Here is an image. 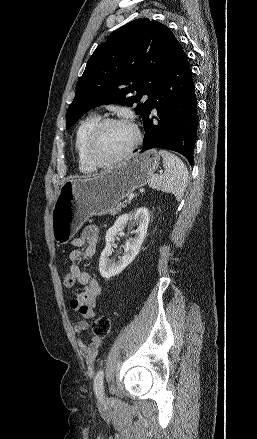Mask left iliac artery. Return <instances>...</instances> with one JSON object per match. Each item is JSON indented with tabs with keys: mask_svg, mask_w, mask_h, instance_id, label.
<instances>
[{
	"mask_svg": "<svg viewBox=\"0 0 257 439\" xmlns=\"http://www.w3.org/2000/svg\"><path fill=\"white\" fill-rule=\"evenodd\" d=\"M103 377L104 372L102 369H100L94 377V391L99 399L103 397Z\"/></svg>",
	"mask_w": 257,
	"mask_h": 439,
	"instance_id": "1",
	"label": "left iliac artery"
}]
</instances>
